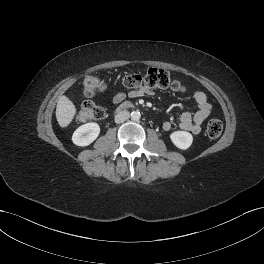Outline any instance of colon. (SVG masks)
Wrapping results in <instances>:
<instances>
[{
	"instance_id": "colon-1",
	"label": "colon",
	"mask_w": 264,
	"mask_h": 264,
	"mask_svg": "<svg viewBox=\"0 0 264 264\" xmlns=\"http://www.w3.org/2000/svg\"><path fill=\"white\" fill-rule=\"evenodd\" d=\"M122 84L129 89H167L175 91L183 89L181 83L173 79L169 72L159 68H150L145 74H129L123 77ZM105 82L96 76H87L83 81V94L86 97H92L98 92L104 90ZM105 116L103 107L86 101L79 112L81 120H99ZM223 131V124L219 119H211L206 126L208 137L218 138Z\"/></svg>"
}]
</instances>
